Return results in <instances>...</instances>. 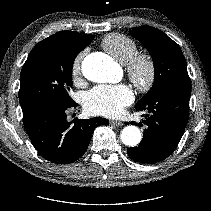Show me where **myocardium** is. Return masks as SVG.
I'll return each instance as SVG.
<instances>
[{
	"label": "myocardium",
	"instance_id": "obj_1",
	"mask_svg": "<svg viewBox=\"0 0 211 211\" xmlns=\"http://www.w3.org/2000/svg\"><path fill=\"white\" fill-rule=\"evenodd\" d=\"M131 82L143 92L150 90L157 76V65L154 57L148 52H137L125 64Z\"/></svg>",
	"mask_w": 211,
	"mask_h": 211
}]
</instances>
